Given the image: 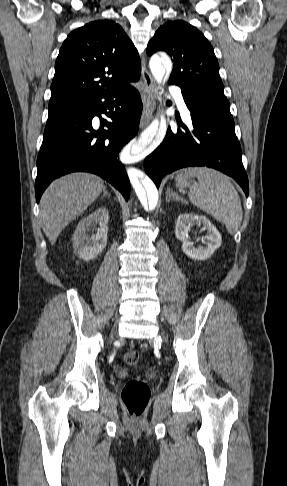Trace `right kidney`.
Returning <instances> with one entry per match:
<instances>
[{
	"label": "right kidney",
	"mask_w": 287,
	"mask_h": 486,
	"mask_svg": "<svg viewBox=\"0 0 287 486\" xmlns=\"http://www.w3.org/2000/svg\"><path fill=\"white\" fill-rule=\"evenodd\" d=\"M95 223H99L100 227L95 235L89 237L86 231ZM107 232L108 210L105 207H99L78 223L72 236L74 252L84 260L96 258L106 247Z\"/></svg>",
	"instance_id": "obj_1"
}]
</instances>
